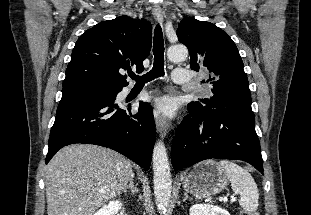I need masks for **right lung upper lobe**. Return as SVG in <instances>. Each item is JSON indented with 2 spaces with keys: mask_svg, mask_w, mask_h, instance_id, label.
Returning a JSON list of instances; mask_svg holds the SVG:
<instances>
[{
  "mask_svg": "<svg viewBox=\"0 0 311 215\" xmlns=\"http://www.w3.org/2000/svg\"><path fill=\"white\" fill-rule=\"evenodd\" d=\"M151 23L126 15L100 22L77 40L63 86L76 83L117 88L128 85L122 70L143 71L152 39Z\"/></svg>",
  "mask_w": 311,
  "mask_h": 215,
  "instance_id": "1",
  "label": "right lung upper lobe"
}]
</instances>
